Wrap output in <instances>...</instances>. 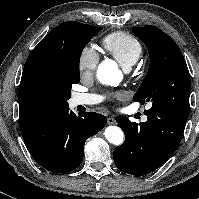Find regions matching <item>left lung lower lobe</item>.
<instances>
[{
    "mask_svg": "<svg viewBox=\"0 0 199 199\" xmlns=\"http://www.w3.org/2000/svg\"><path fill=\"white\" fill-rule=\"evenodd\" d=\"M146 122L139 124L117 116L125 141L113 152L123 172L142 176L161 167L178 148L188 116L166 109H149Z\"/></svg>",
    "mask_w": 199,
    "mask_h": 199,
    "instance_id": "1",
    "label": "left lung lower lobe"
}]
</instances>
